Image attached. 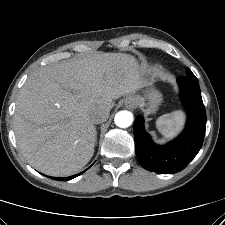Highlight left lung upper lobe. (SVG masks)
<instances>
[{
  "label": "left lung upper lobe",
  "instance_id": "obj_1",
  "mask_svg": "<svg viewBox=\"0 0 225 225\" xmlns=\"http://www.w3.org/2000/svg\"><path fill=\"white\" fill-rule=\"evenodd\" d=\"M187 76H195L189 68H186Z\"/></svg>",
  "mask_w": 225,
  "mask_h": 225
}]
</instances>
